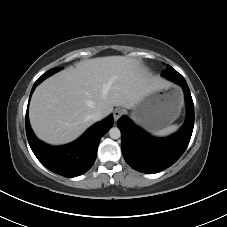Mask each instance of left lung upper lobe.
Instances as JSON below:
<instances>
[{
	"instance_id": "left-lung-upper-lobe-1",
	"label": "left lung upper lobe",
	"mask_w": 227,
	"mask_h": 227,
	"mask_svg": "<svg viewBox=\"0 0 227 227\" xmlns=\"http://www.w3.org/2000/svg\"><path fill=\"white\" fill-rule=\"evenodd\" d=\"M162 75L170 80L172 79V77L184 78L180 73H178L169 65H167V68L163 71Z\"/></svg>"
}]
</instances>
